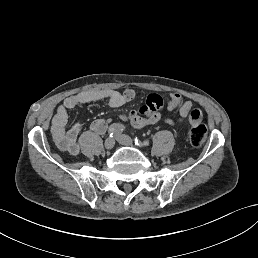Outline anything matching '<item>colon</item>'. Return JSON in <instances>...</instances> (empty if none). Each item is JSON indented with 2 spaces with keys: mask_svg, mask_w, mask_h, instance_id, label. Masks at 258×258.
<instances>
[{
  "mask_svg": "<svg viewBox=\"0 0 258 258\" xmlns=\"http://www.w3.org/2000/svg\"><path fill=\"white\" fill-rule=\"evenodd\" d=\"M207 137V129L203 124H194L189 133V141L193 146L202 145Z\"/></svg>",
  "mask_w": 258,
  "mask_h": 258,
  "instance_id": "colon-1",
  "label": "colon"
}]
</instances>
